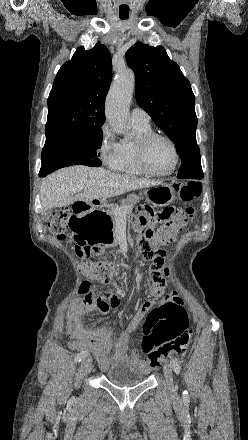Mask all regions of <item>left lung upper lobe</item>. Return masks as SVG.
<instances>
[{
    "instance_id": "1",
    "label": "left lung upper lobe",
    "mask_w": 248,
    "mask_h": 440,
    "mask_svg": "<svg viewBox=\"0 0 248 440\" xmlns=\"http://www.w3.org/2000/svg\"><path fill=\"white\" fill-rule=\"evenodd\" d=\"M126 58L135 72L137 103L174 141L181 156L178 178H203L196 143L195 97L188 79L161 46L137 42Z\"/></svg>"
}]
</instances>
